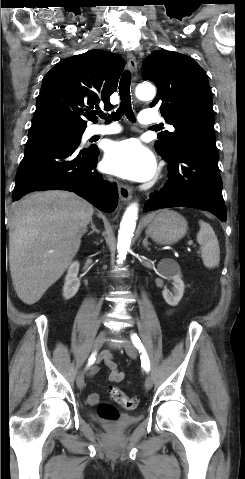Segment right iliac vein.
<instances>
[{
	"label": "right iliac vein",
	"instance_id": "obj_1",
	"mask_svg": "<svg viewBox=\"0 0 245 479\" xmlns=\"http://www.w3.org/2000/svg\"><path fill=\"white\" fill-rule=\"evenodd\" d=\"M107 336V332L106 331H102L99 333V335L97 336V338L95 339L94 341V344H93V351H96L98 350L104 343V340ZM76 383H77V386L79 389H83L84 386H85V382H84V376H83V373L80 372L77 376V380H76Z\"/></svg>",
	"mask_w": 245,
	"mask_h": 479
}]
</instances>
